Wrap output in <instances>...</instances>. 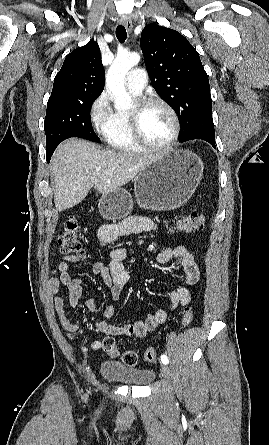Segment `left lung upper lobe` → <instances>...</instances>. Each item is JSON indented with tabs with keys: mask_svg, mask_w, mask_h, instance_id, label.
Wrapping results in <instances>:
<instances>
[{
	"mask_svg": "<svg viewBox=\"0 0 269 445\" xmlns=\"http://www.w3.org/2000/svg\"><path fill=\"white\" fill-rule=\"evenodd\" d=\"M140 45L154 89L179 117V141L215 136L209 80L196 49L157 24L142 30Z\"/></svg>",
	"mask_w": 269,
	"mask_h": 445,
	"instance_id": "left-lung-upper-lobe-1",
	"label": "left lung upper lobe"
}]
</instances>
